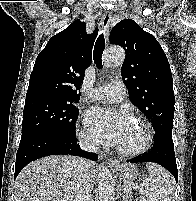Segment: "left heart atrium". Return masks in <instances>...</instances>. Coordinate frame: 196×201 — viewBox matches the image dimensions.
I'll return each mask as SVG.
<instances>
[{"instance_id": "left-heart-atrium-1", "label": "left heart atrium", "mask_w": 196, "mask_h": 201, "mask_svg": "<svg viewBox=\"0 0 196 201\" xmlns=\"http://www.w3.org/2000/svg\"><path fill=\"white\" fill-rule=\"evenodd\" d=\"M84 121L91 134L99 141L117 145L131 123L130 115L124 110L92 107Z\"/></svg>"}]
</instances>
